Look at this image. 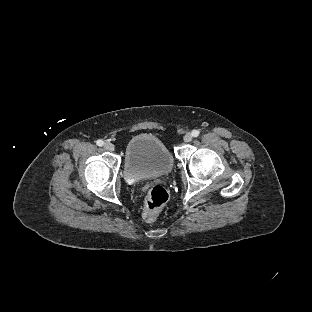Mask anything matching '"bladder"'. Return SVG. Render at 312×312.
Returning <instances> with one entry per match:
<instances>
[{"label":"bladder","mask_w":312,"mask_h":312,"mask_svg":"<svg viewBox=\"0 0 312 312\" xmlns=\"http://www.w3.org/2000/svg\"><path fill=\"white\" fill-rule=\"evenodd\" d=\"M172 167L173 157L160 139L151 135H139L128 141L125 178L157 177L169 173Z\"/></svg>","instance_id":"bladder-1"}]
</instances>
